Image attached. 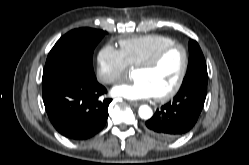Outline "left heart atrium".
Segmentation results:
<instances>
[{
	"instance_id": "obj_1",
	"label": "left heart atrium",
	"mask_w": 249,
	"mask_h": 165,
	"mask_svg": "<svg viewBox=\"0 0 249 165\" xmlns=\"http://www.w3.org/2000/svg\"><path fill=\"white\" fill-rule=\"evenodd\" d=\"M112 94L129 100L148 99L155 96L149 84L138 78L116 85L112 89Z\"/></svg>"
}]
</instances>
